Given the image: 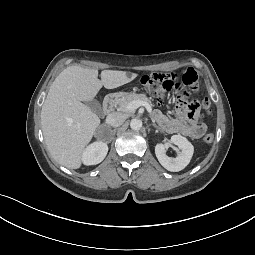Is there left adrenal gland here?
Listing matches in <instances>:
<instances>
[{
    "mask_svg": "<svg viewBox=\"0 0 255 255\" xmlns=\"http://www.w3.org/2000/svg\"><path fill=\"white\" fill-rule=\"evenodd\" d=\"M153 126H154V127H157V125H156V124H153Z\"/></svg>",
    "mask_w": 255,
    "mask_h": 255,
    "instance_id": "a2214340",
    "label": "left adrenal gland"
}]
</instances>
